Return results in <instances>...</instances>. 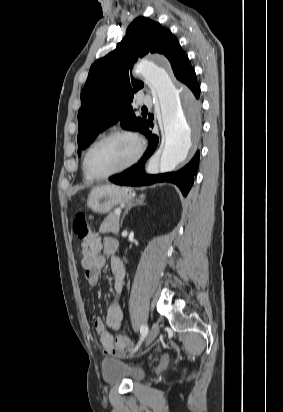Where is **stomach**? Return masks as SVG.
<instances>
[{
  "label": "stomach",
  "instance_id": "0dacf381",
  "mask_svg": "<svg viewBox=\"0 0 283 412\" xmlns=\"http://www.w3.org/2000/svg\"><path fill=\"white\" fill-rule=\"evenodd\" d=\"M134 197L132 189L117 185H102L91 190L87 206L99 214L109 213L115 206L129 203Z\"/></svg>",
  "mask_w": 283,
  "mask_h": 412
}]
</instances>
